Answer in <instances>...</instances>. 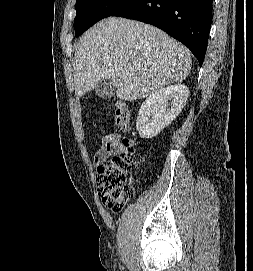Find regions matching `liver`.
<instances>
[{
	"label": "liver",
	"mask_w": 253,
	"mask_h": 271,
	"mask_svg": "<svg viewBox=\"0 0 253 271\" xmlns=\"http://www.w3.org/2000/svg\"><path fill=\"white\" fill-rule=\"evenodd\" d=\"M191 65L189 51L160 29L109 17L95 24L76 44V92L81 97L107 79L115 85L118 98L142 99L186 79Z\"/></svg>",
	"instance_id": "1"
}]
</instances>
